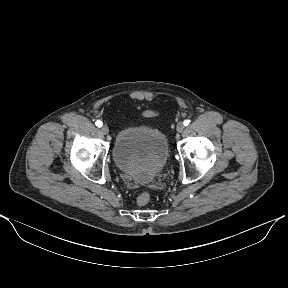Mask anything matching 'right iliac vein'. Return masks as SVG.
<instances>
[{
    "label": "right iliac vein",
    "instance_id": "63e3f726",
    "mask_svg": "<svg viewBox=\"0 0 288 288\" xmlns=\"http://www.w3.org/2000/svg\"><path fill=\"white\" fill-rule=\"evenodd\" d=\"M101 132H102L104 135L108 134V133H109V128H108V126H107V125H103V126L101 127Z\"/></svg>",
    "mask_w": 288,
    "mask_h": 288
}]
</instances>
